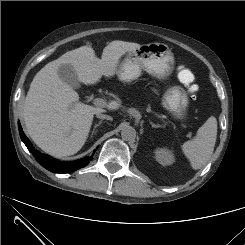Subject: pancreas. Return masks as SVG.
<instances>
[{"label": "pancreas", "instance_id": "1", "mask_svg": "<svg viewBox=\"0 0 245 245\" xmlns=\"http://www.w3.org/2000/svg\"><path fill=\"white\" fill-rule=\"evenodd\" d=\"M152 90H153L155 93H158L157 90H155V89H152Z\"/></svg>", "mask_w": 245, "mask_h": 245}]
</instances>
